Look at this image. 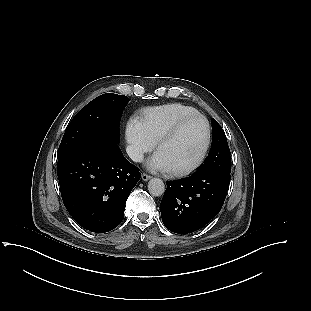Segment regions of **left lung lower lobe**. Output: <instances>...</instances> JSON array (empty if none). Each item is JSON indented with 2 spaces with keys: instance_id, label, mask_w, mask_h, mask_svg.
I'll return each mask as SVG.
<instances>
[{
  "instance_id": "left-lung-lower-lobe-1",
  "label": "left lung lower lobe",
  "mask_w": 311,
  "mask_h": 311,
  "mask_svg": "<svg viewBox=\"0 0 311 311\" xmlns=\"http://www.w3.org/2000/svg\"><path fill=\"white\" fill-rule=\"evenodd\" d=\"M166 183L168 187L160 205L162 221L170 231L187 234L202 228L219 213L230 174L210 169Z\"/></svg>"
}]
</instances>
